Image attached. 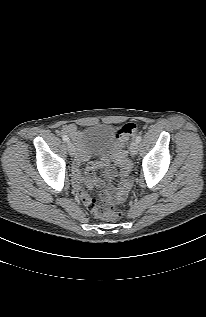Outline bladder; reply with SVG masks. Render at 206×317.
I'll return each mask as SVG.
<instances>
[{"mask_svg": "<svg viewBox=\"0 0 206 317\" xmlns=\"http://www.w3.org/2000/svg\"><path fill=\"white\" fill-rule=\"evenodd\" d=\"M80 141L87 149L114 153L121 148L117 130L109 124L88 126L80 133Z\"/></svg>", "mask_w": 206, "mask_h": 317, "instance_id": "31cf9c89", "label": "bladder"}]
</instances>
